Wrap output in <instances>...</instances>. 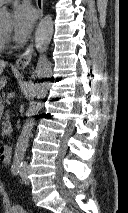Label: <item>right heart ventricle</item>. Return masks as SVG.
Here are the masks:
<instances>
[{
    "label": "right heart ventricle",
    "mask_w": 128,
    "mask_h": 213,
    "mask_svg": "<svg viewBox=\"0 0 128 213\" xmlns=\"http://www.w3.org/2000/svg\"><path fill=\"white\" fill-rule=\"evenodd\" d=\"M1 38H2V34L0 33V50L2 49V47H1Z\"/></svg>",
    "instance_id": "e07e8e85"
}]
</instances>
